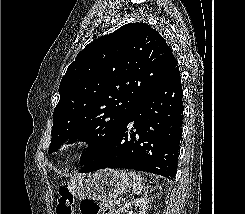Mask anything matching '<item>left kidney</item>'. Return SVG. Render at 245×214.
Masks as SVG:
<instances>
[{
    "label": "left kidney",
    "mask_w": 245,
    "mask_h": 214,
    "mask_svg": "<svg viewBox=\"0 0 245 214\" xmlns=\"http://www.w3.org/2000/svg\"><path fill=\"white\" fill-rule=\"evenodd\" d=\"M147 202H148V199L146 197L136 199L134 201L126 203L123 207L119 208L116 214H125L127 212L126 209H132L133 206L138 207V210H139L138 214H146ZM132 214H136V213H132Z\"/></svg>",
    "instance_id": "obj_1"
}]
</instances>
